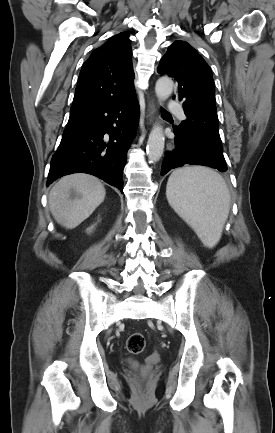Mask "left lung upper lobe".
I'll use <instances>...</instances> for the list:
<instances>
[{
	"mask_svg": "<svg viewBox=\"0 0 275 433\" xmlns=\"http://www.w3.org/2000/svg\"><path fill=\"white\" fill-rule=\"evenodd\" d=\"M158 72L175 79L179 99L183 101L187 120L174 130L193 139L214 164L227 169L218 131L215 85L208 64L192 46L178 40L162 57Z\"/></svg>",
	"mask_w": 275,
	"mask_h": 433,
	"instance_id": "left-lung-upper-lobe-1",
	"label": "left lung upper lobe"
}]
</instances>
